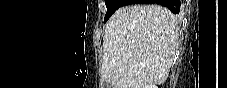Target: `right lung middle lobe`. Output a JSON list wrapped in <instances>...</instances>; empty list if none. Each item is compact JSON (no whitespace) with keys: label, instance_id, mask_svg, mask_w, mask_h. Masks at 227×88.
I'll return each mask as SVG.
<instances>
[{"label":"right lung middle lobe","instance_id":"obj_1","mask_svg":"<svg viewBox=\"0 0 227 88\" xmlns=\"http://www.w3.org/2000/svg\"><path fill=\"white\" fill-rule=\"evenodd\" d=\"M129 0H106L105 4L107 12L104 18V23L111 17V15L121 6L127 5Z\"/></svg>","mask_w":227,"mask_h":88}]
</instances>
